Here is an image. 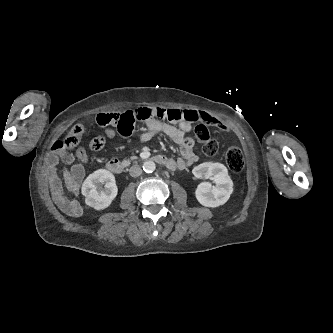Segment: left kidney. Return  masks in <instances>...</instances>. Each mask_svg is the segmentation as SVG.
Here are the masks:
<instances>
[{"mask_svg": "<svg viewBox=\"0 0 333 333\" xmlns=\"http://www.w3.org/2000/svg\"><path fill=\"white\" fill-rule=\"evenodd\" d=\"M196 178L212 180L198 185L195 195L198 202L205 207H218L225 204L233 191V181L227 168L221 163L205 162L192 170Z\"/></svg>", "mask_w": 333, "mask_h": 333, "instance_id": "1", "label": "left kidney"}]
</instances>
